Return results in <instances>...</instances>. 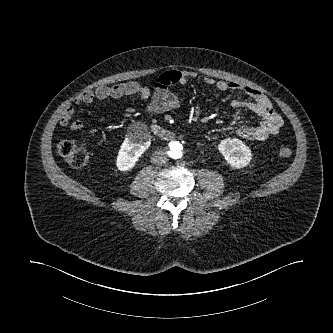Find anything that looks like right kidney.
<instances>
[{
	"label": "right kidney",
	"mask_w": 333,
	"mask_h": 333,
	"mask_svg": "<svg viewBox=\"0 0 333 333\" xmlns=\"http://www.w3.org/2000/svg\"><path fill=\"white\" fill-rule=\"evenodd\" d=\"M150 146V136L126 137L123 141L116 159V166L119 171L131 170L139 157Z\"/></svg>",
	"instance_id": "1"
}]
</instances>
